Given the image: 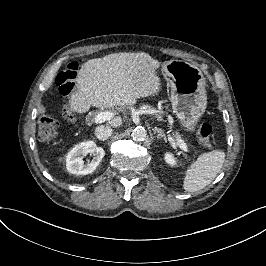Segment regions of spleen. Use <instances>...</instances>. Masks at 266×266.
I'll return each mask as SVG.
<instances>
[{
    "label": "spleen",
    "mask_w": 266,
    "mask_h": 266,
    "mask_svg": "<svg viewBox=\"0 0 266 266\" xmlns=\"http://www.w3.org/2000/svg\"><path fill=\"white\" fill-rule=\"evenodd\" d=\"M225 153L213 150L201 154L186 172L183 188L188 192H196L209 185L221 171Z\"/></svg>",
    "instance_id": "spleen-1"
}]
</instances>
